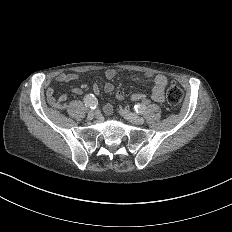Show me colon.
I'll use <instances>...</instances> for the list:
<instances>
[{
    "label": "colon",
    "mask_w": 232,
    "mask_h": 232,
    "mask_svg": "<svg viewBox=\"0 0 232 232\" xmlns=\"http://www.w3.org/2000/svg\"><path fill=\"white\" fill-rule=\"evenodd\" d=\"M167 94L165 99H168L166 103L167 107H181L182 91L181 86H178L175 82H170L166 88ZM51 103L58 107V113H63V105L66 103V96L62 92H55L51 96Z\"/></svg>",
    "instance_id": "colon-1"
}]
</instances>
